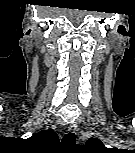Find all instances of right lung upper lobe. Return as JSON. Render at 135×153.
<instances>
[{
	"mask_svg": "<svg viewBox=\"0 0 135 153\" xmlns=\"http://www.w3.org/2000/svg\"><path fill=\"white\" fill-rule=\"evenodd\" d=\"M29 139L39 143H51L59 140L57 134L52 130H42Z\"/></svg>",
	"mask_w": 135,
	"mask_h": 153,
	"instance_id": "cb5924a9",
	"label": "right lung upper lobe"
}]
</instances>
